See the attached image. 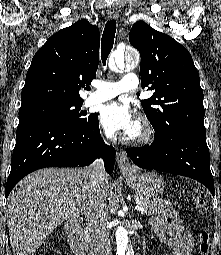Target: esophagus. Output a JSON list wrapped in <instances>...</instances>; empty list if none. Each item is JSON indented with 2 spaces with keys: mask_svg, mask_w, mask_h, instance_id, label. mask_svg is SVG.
Here are the masks:
<instances>
[{
  "mask_svg": "<svg viewBox=\"0 0 221 255\" xmlns=\"http://www.w3.org/2000/svg\"><path fill=\"white\" fill-rule=\"evenodd\" d=\"M108 16L110 19H117L119 14L116 9L111 8L108 10ZM116 161L121 172L125 173L133 171V167L131 166L125 151L121 150L116 153Z\"/></svg>",
  "mask_w": 221,
  "mask_h": 255,
  "instance_id": "esophagus-1",
  "label": "esophagus"
}]
</instances>
